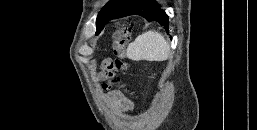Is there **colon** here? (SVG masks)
I'll use <instances>...</instances> for the list:
<instances>
[{"label":"colon","instance_id":"5ec220e1","mask_svg":"<svg viewBox=\"0 0 257 130\" xmlns=\"http://www.w3.org/2000/svg\"><path fill=\"white\" fill-rule=\"evenodd\" d=\"M131 29L129 27H124L117 31L115 34L112 50L114 54L113 62H106L103 73H102V83L101 86L103 89H109L113 85L119 84V75L120 70H127L129 64L126 62L127 56V46L130 41Z\"/></svg>","mask_w":257,"mask_h":130}]
</instances>
